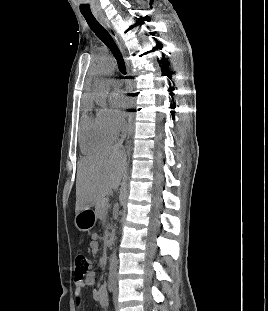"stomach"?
<instances>
[{"label":"stomach","instance_id":"0dacf381","mask_svg":"<svg viewBox=\"0 0 268 311\" xmlns=\"http://www.w3.org/2000/svg\"><path fill=\"white\" fill-rule=\"evenodd\" d=\"M96 214L91 209V206L79 211L76 213L74 223L78 230L80 231H89L93 228L96 222Z\"/></svg>","mask_w":268,"mask_h":311}]
</instances>
